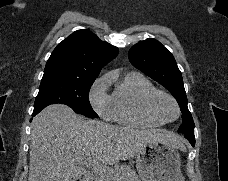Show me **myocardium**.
<instances>
[{"mask_svg":"<svg viewBox=\"0 0 228 181\" xmlns=\"http://www.w3.org/2000/svg\"><path fill=\"white\" fill-rule=\"evenodd\" d=\"M156 95H161V96L166 97L171 102L174 112L176 114L178 113V106H177L175 100L169 94H167L163 91H160V90H155V89L146 93L143 96V99L141 102L142 112H143L144 116L148 119H151V120H154L157 122H167L170 119H162V118L158 117L153 110L152 100Z\"/></svg>","mask_w":228,"mask_h":181,"instance_id":"myocardium-1","label":"myocardium"}]
</instances>
